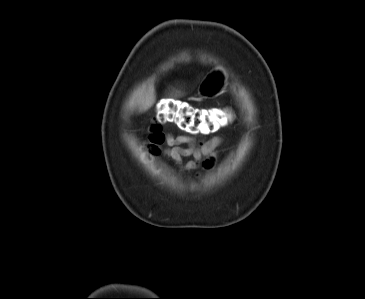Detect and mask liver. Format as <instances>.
<instances>
[{"label": "liver", "mask_w": 365, "mask_h": 299, "mask_svg": "<svg viewBox=\"0 0 365 299\" xmlns=\"http://www.w3.org/2000/svg\"><path fill=\"white\" fill-rule=\"evenodd\" d=\"M136 97L140 100L144 111L148 110L155 102L154 90L152 88L145 93L138 92Z\"/></svg>", "instance_id": "1"}]
</instances>
